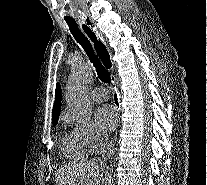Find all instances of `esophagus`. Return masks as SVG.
Returning <instances> with one entry per match:
<instances>
[{"mask_svg":"<svg viewBox=\"0 0 207 185\" xmlns=\"http://www.w3.org/2000/svg\"><path fill=\"white\" fill-rule=\"evenodd\" d=\"M84 24H86L85 20H82L81 22H79V26L80 28H82V30H91V25H84ZM87 38H90V43H93V48H107L108 47L107 43H100L101 33H87ZM96 54L105 55V56H99L98 60L105 61L103 62V67H108L111 71V82H112V87H113L112 98H113V103L116 109V118L117 120H119L120 118V94L118 90V81H117L115 74L113 73L114 62H112L111 52L107 48L106 50H97ZM117 135L118 134L116 132L114 136L115 141L117 140Z\"/></svg>","mask_w":207,"mask_h":185,"instance_id":"34e87169","label":"esophagus"}]
</instances>
